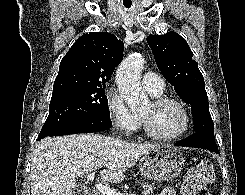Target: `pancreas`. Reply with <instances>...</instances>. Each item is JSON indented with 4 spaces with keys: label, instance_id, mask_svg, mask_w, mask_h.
Wrapping results in <instances>:
<instances>
[{
    "label": "pancreas",
    "instance_id": "obj_1",
    "mask_svg": "<svg viewBox=\"0 0 245 195\" xmlns=\"http://www.w3.org/2000/svg\"><path fill=\"white\" fill-rule=\"evenodd\" d=\"M142 186H143V188H144V190H145V192L147 194L152 193L153 190L155 189V185L154 184L147 183V182L142 183Z\"/></svg>",
    "mask_w": 245,
    "mask_h": 195
}]
</instances>
